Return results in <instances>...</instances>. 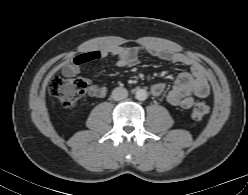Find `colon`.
<instances>
[{"label": "colon", "mask_w": 248, "mask_h": 195, "mask_svg": "<svg viewBox=\"0 0 248 195\" xmlns=\"http://www.w3.org/2000/svg\"><path fill=\"white\" fill-rule=\"evenodd\" d=\"M49 91L59 104L65 108L74 107L86 92V83L73 76L55 77L49 86ZM209 111L207 103L203 100L194 102L191 116L194 119L203 118Z\"/></svg>", "instance_id": "1"}]
</instances>
